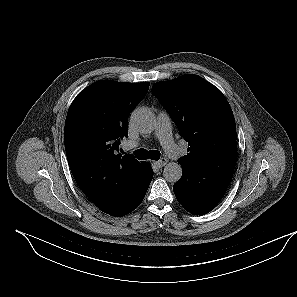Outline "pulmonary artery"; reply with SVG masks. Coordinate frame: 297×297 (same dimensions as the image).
Returning <instances> with one entry per match:
<instances>
[{
  "label": "pulmonary artery",
  "instance_id": "e3ab8cb5",
  "mask_svg": "<svg viewBox=\"0 0 297 297\" xmlns=\"http://www.w3.org/2000/svg\"><path fill=\"white\" fill-rule=\"evenodd\" d=\"M155 136L158 138L163 148L169 155L173 157H180L182 155V149L174 142L172 138L171 120L168 114H166L165 112H160L157 116ZM137 145V142L127 143V146L130 148Z\"/></svg>",
  "mask_w": 297,
  "mask_h": 297
}]
</instances>
